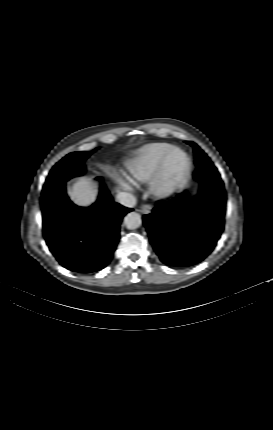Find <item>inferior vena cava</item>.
Returning <instances> with one entry per match:
<instances>
[{
  "mask_svg": "<svg viewBox=\"0 0 273 430\" xmlns=\"http://www.w3.org/2000/svg\"><path fill=\"white\" fill-rule=\"evenodd\" d=\"M116 201L126 207H134L136 205L135 196L126 192L118 193L116 196Z\"/></svg>",
  "mask_w": 273,
  "mask_h": 430,
  "instance_id": "obj_1",
  "label": "inferior vena cava"
}]
</instances>
